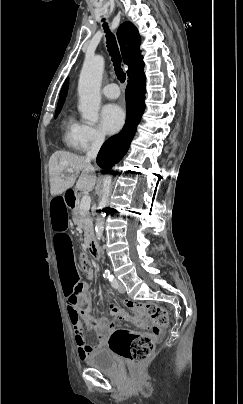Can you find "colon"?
<instances>
[{
    "label": "colon",
    "instance_id": "colon-1",
    "mask_svg": "<svg viewBox=\"0 0 243 404\" xmlns=\"http://www.w3.org/2000/svg\"><path fill=\"white\" fill-rule=\"evenodd\" d=\"M80 267L88 272L92 268V262L87 257H82ZM124 304L133 310L146 312L154 321L156 327L150 333H139L127 329H116L112 332L108 340L110 350L119 356L132 362H142L149 358L154 352L159 337V327L168 324L167 311L155 304L144 303L135 300H126Z\"/></svg>",
    "mask_w": 243,
    "mask_h": 404
}]
</instances>
